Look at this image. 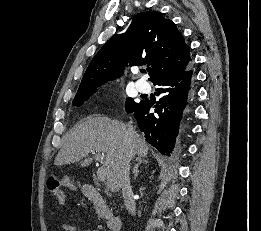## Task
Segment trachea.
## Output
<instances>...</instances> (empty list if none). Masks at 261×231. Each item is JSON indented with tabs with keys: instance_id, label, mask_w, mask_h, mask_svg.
<instances>
[{
	"instance_id": "1",
	"label": "trachea",
	"mask_w": 261,
	"mask_h": 231,
	"mask_svg": "<svg viewBox=\"0 0 261 231\" xmlns=\"http://www.w3.org/2000/svg\"><path fill=\"white\" fill-rule=\"evenodd\" d=\"M147 71H149V69H147ZM143 73H146V70H142Z\"/></svg>"
}]
</instances>
